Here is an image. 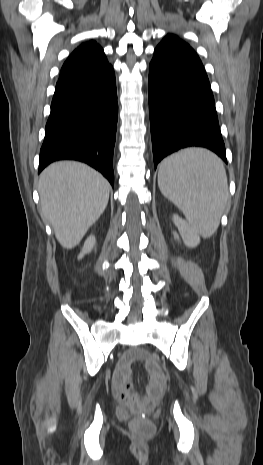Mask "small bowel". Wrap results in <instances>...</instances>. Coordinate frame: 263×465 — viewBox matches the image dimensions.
<instances>
[{
	"mask_svg": "<svg viewBox=\"0 0 263 465\" xmlns=\"http://www.w3.org/2000/svg\"><path fill=\"white\" fill-rule=\"evenodd\" d=\"M137 358V352L132 351L126 353L119 361L114 372L113 389L117 398L122 402L130 403L133 399L138 398V396L133 395L129 389V380L131 376L130 364ZM162 383V376L156 370H152L150 373V385L162 386Z\"/></svg>",
	"mask_w": 263,
	"mask_h": 465,
	"instance_id": "small-bowel-1",
	"label": "small bowel"
}]
</instances>
